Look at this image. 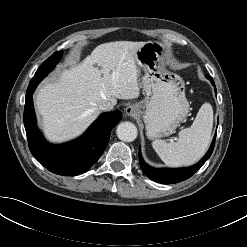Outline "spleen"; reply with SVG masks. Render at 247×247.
I'll return each mask as SVG.
<instances>
[{"label": "spleen", "instance_id": "spleen-1", "mask_svg": "<svg viewBox=\"0 0 247 247\" xmlns=\"http://www.w3.org/2000/svg\"><path fill=\"white\" fill-rule=\"evenodd\" d=\"M213 128V109L204 103L193 124L179 132L176 142L155 140L152 147L160 159L168 166L179 167L197 162L205 154Z\"/></svg>", "mask_w": 247, "mask_h": 247}]
</instances>
